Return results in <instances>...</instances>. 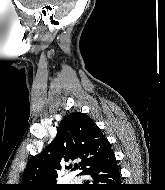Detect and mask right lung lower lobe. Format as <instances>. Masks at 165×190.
Here are the masks:
<instances>
[{
  "instance_id": "98d812e1",
  "label": "right lung lower lobe",
  "mask_w": 165,
  "mask_h": 190,
  "mask_svg": "<svg viewBox=\"0 0 165 190\" xmlns=\"http://www.w3.org/2000/svg\"><path fill=\"white\" fill-rule=\"evenodd\" d=\"M82 175L88 177L84 190H125L121 184L120 172L113 154L99 164L89 168Z\"/></svg>"
}]
</instances>
